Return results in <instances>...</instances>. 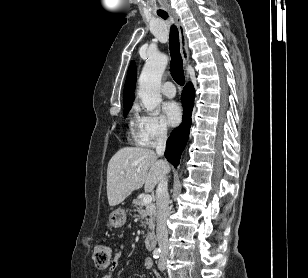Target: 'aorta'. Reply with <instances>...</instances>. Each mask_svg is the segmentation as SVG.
<instances>
[{
  "label": "aorta",
  "mask_w": 308,
  "mask_h": 278,
  "mask_svg": "<svg viewBox=\"0 0 308 278\" xmlns=\"http://www.w3.org/2000/svg\"><path fill=\"white\" fill-rule=\"evenodd\" d=\"M168 63L164 54L150 55L139 78L138 96L145 108L153 111L161 103V78Z\"/></svg>",
  "instance_id": "obj_1"
}]
</instances>
